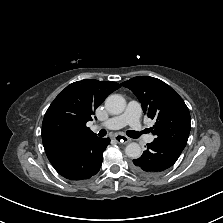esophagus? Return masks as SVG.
<instances>
[{
	"label": "esophagus",
	"instance_id": "34e87169",
	"mask_svg": "<svg viewBox=\"0 0 223 223\" xmlns=\"http://www.w3.org/2000/svg\"><path fill=\"white\" fill-rule=\"evenodd\" d=\"M113 138H114L117 142H119V143H123V144H126V143L130 142V139H129L127 136L122 135V134H116V135L113 136Z\"/></svg>",
	"mask_w": 223,
	"mask_h": 223
}]
</instances>
